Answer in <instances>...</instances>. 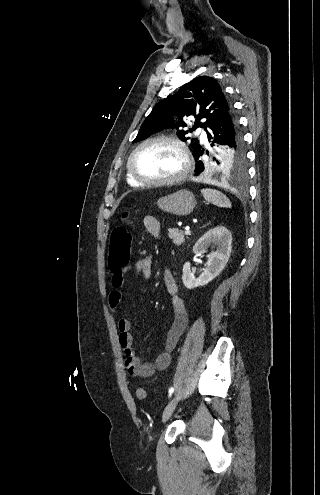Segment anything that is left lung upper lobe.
<instances>
[{
  "label": "left lung upper lobe",
  "instance_id": "obj_1",
  "mask_svg": "<svg viewBox=\"0 0 320 495\" xmlns=\"http://www.w3.org/2000/svg\"><path fill=\"white\" fill-rule=\"evenodd\" d=\"M230 109L231 103L226 99L218 82L209 76H198L184 84L176 94L168 96L155 105L133 142L144 140L166 127L177 129L186 127L183 118L193 116L196 118L193 127L177 132L181 140L186 142L189 138H186L185 134L193 132L198 127L208 132L216 119ZM174 116L177 117L176 123L171 120ZM190 146L193 154L200 150L205 152L197 139H191ZM215 146L213 152L208 150L205 152L208 155V161L205 162L208 174L219 178L246 171L245 151L239 126L233 144Z\"/></svg>",
  "mask_w": 320,
  "mask_h": 495
}]
</instances>
